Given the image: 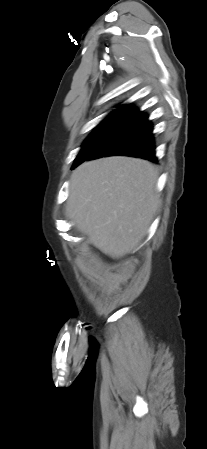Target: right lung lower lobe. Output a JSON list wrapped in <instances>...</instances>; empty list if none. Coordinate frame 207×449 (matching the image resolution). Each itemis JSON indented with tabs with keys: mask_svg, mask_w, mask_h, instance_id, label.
<instances>
[{
	"mask_svg": "<svg viewBox=\"0 0 207 449\" xmlns=\"http://www.w3.org/2000/svg\"><path fill=\"white\" fill-rule=\"evenodd\" d=\"M113 155H126L157 161L152 126L147 115L137 114L128 125L112 136L86 160Z\"/></svg>",
	"mask_w": 207,
	"mask_h": 449,
	"instance_id": "98d812e1",
	"label": "right lung lower lobe"
}]
</instances>
